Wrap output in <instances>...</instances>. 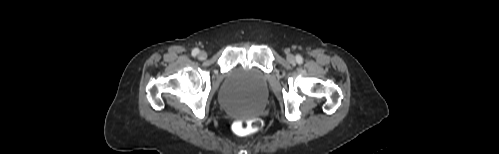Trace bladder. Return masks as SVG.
Listing matches in <instances>:
<instances>
[{
	"instance_id": "obj_1",
	"label": "bladder",
	"mask_w": 499,
	"mask_h": 154,
	"mask_svg": "<svg viewBox=\"0 0 499 154\" xmlns=\"http://www.w3.org/2000/svg\"><path fill=\"white\" fill-rule=\"evenodd\" d=\"M267 77L257 68L234 69L219 92L221 106L238 115H252L265 104Z\"/></svg>"
}]
</instances>
